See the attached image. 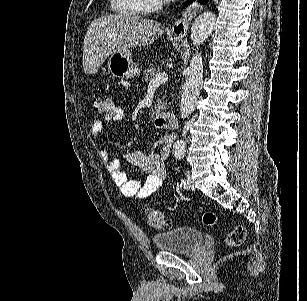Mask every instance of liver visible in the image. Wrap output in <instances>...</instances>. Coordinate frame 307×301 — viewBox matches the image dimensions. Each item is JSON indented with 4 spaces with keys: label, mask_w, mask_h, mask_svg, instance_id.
I'll use <instances>...</instances> for the list:
<instances>
[{
    "label": "liver",
    "mask_w": 307,
    "mask_h": 301,
    "mask_svg": "<svg viewBox=\"0 0 307 301\" xmlns=\"http://www.w3.org/2000/svg\"><path fill=\"white\" fill-rule=\"evenodd\" d=\"M164 24L143 16L110 14L92 20L84 38L83 68L85 74H95L112 52L152 44L164 32Z\"/></svg>",
    "instance_id": "liver-1"
}]
</instances>
